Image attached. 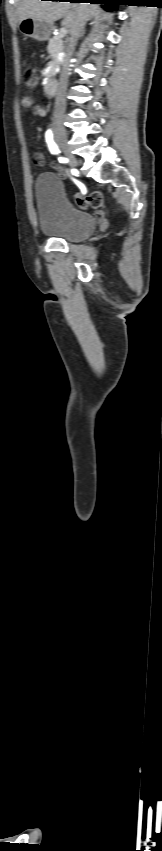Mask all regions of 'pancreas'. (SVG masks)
Wrapping results in <instances>:
<instances>
[{"label": "pancreas", "mask_w": 162, "mask_h": 851, "mask_svg": "<svg viewBox=\"0 0 162 851\" xmlns=\"http://www.w3.org/2000/svg\"><path fill=\"white\" fill-rule=\"evenodd\" d=\"M64 43L62 36L59 35L54 36L49 40L47 50L52 59L49 62V65H51L50 76L56 75L58 67L62 63L63 57L61 54L65 52Z\"/></svg>", "instance_id": "obj_1"}]
</instances>
